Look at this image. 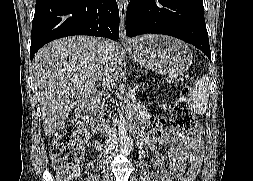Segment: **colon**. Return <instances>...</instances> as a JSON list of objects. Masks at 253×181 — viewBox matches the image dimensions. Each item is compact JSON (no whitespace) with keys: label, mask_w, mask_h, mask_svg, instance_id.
I'll return each instance as SVG.
<instances>
[{"label":"colon","mask_w":253,"mask_h":181,"mask_svg":"<svg viewBox=\"0 0 253 181\" xmlns=\"http://www.w3.org/2000/svg\"><path fill=\"white\" fill-rule=\"evenodd\" d=\"M192 95V89L184 87L173 103L170 122L181 137L190 135L197 123L191 110ZM85 141L86 132L77 118L67 120L59 129L52 144L51 157L61 181L76 178ZM171 180L183 181L182 173L173 175Z\"/></svg>","instance_id":"obj_1"}]
</instances>
